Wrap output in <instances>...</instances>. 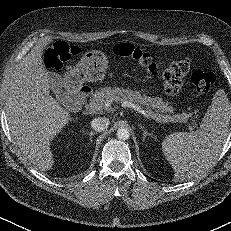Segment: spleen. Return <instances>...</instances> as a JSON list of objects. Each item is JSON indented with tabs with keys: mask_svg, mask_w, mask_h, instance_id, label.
<instances>
[{
	"mask_svg": "<svg viewBox=\"0 0 231 231\" xmlns=\"http://www.w3.org/2000/svg\"><path fill=\"white\" fill-rule=\"evenodd\" d=\"M230 118L231 105L220 90L197 131L175 132L164 139L162 150L175 171L176 180L192 179L212 166L226 142Z\"/></svg>",
	"mask_w": 231,
	"mask_h": 231,
	"instance_id": "3e777b00",
	"label": "spleen"
}]
</instances>
